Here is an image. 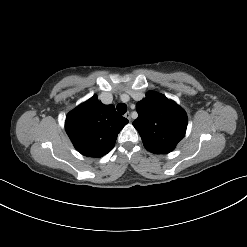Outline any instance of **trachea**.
<instances>
[{
  "label": "trachea",
  "instance_id": "3493384b",
  "mask_svg": "<svg viewBox=\"0 0 247 247\" xmlns=\"http://www.w3.org/2000/svg\"><path fill=\"white\" fill-rule=\"evenodd\" d=\"M116 108L120 114H124L127 111V105L125 103H119Z\"/></svg>",
  "mask_w": 247,
  "mask_h": 247
}]
</instances>
